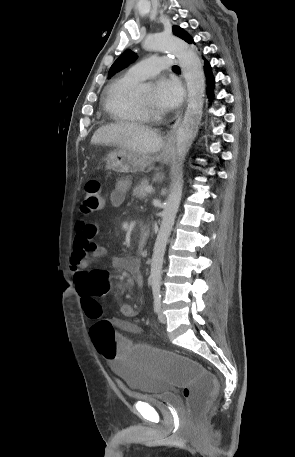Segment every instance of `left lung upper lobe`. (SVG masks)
I'll list each match as a JSON object with an SVG mask.
<instances>
[{
    "mask_svg": "<svg viewBox=\"0 0 295 457\" xmlns=\"http://www.w3.org/2000/svg\"><path fill=\"white\" fill-rule=\"evenodd\" d=\"M173 33L188 43L193 42L191 36L178 26L173 27ZM136 57H137L136 53L132 52L131 50L125 51L123 54H121L118 57V59L113 63V65L109 69L108 77L109 78L112 77L114 74H116L117 72H119L122 69H124L125 67H127L130 63H132L136 59Z\"/></svg>",
    "mask_w": 295,
    "mask_h": 457,
    "instance_id": "5c2ea615",
    "label": "left lung upper lobe"
}]
</instances>
